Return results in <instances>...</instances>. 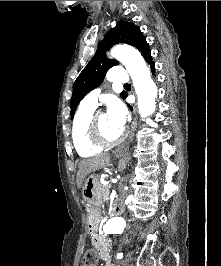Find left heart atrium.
I'll use <instances>...</instances> for the list:
<instances>
[{
	"instance_id": "39dd6f15",
	"label": "left heart atrium",
	"mask_w": 221,
	"mask_h": 266,
	"mask_svg": "<svg viewBox=\"0 0 221 266\" xmlns=\"http://www.w3.org/2000/svg\"><path fill=\"white\" fill-rule=\"evenodd\" d=\"M106 115L114 126L123 130L127 119V112L122 102L117 99L110 100Z\"/></svg>"
}]
</instances>
